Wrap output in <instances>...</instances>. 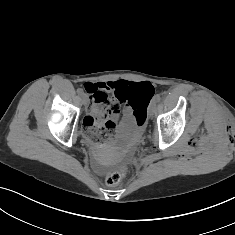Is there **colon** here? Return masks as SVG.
<instances>
[{
    "mask_svg": "<svg viewBox=\"0 0 235 235\" xmlns=\"http://www.w3.org/2000/svg\"><path fill=\"white\" fill-rule=\"evenodd\" d=\"M153 87L150 83L142 82L137 84H130L123 92L120 93V99L134 110V117L136 124L139 128H143L147 123V111L144 101L149 99L153 95ZM97 101L103 104L106 103L107 100L105 96L102 94L96 95ZM108 114L106 110H103L89 118L90 125H95L97 128L101 127L103 124L107 122ZM89 132V131H88ZM90 133V132H89ZM91 135H94L90 133ZM96 136V135H94ZM96 137L100 139L108 138V134H99ZM127 170L125 167L116 169L110 172L106 176V183L109 186L118 185L123 178L125 177Z\"/></svg>",
    "mask_w": 235,
    "mask_h": 235,
    "instance_id": "1",
    "label": "colon"
}]
</instances>
